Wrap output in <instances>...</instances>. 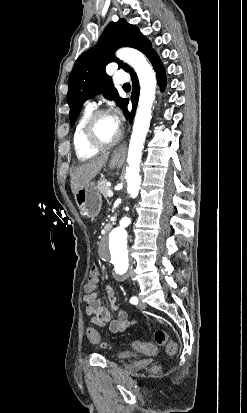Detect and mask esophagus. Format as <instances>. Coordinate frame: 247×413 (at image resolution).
<instances>
[{"label":"esophagus","instance_id":"esophagus-1","mask_svg":"<svg viewBox=\"0 0 247 413\" xmlns=\"http://www.w3.org/2000/svg\"><path fill=\"white\" fill-rule=\"evenodd\" d=\"M127 152V144L126 142L121 143V145L117 146L113 152V154L117 157L120 158L121 160L125 159Z\"/></svg>","mask_w":247,"mask_h":413}]
</instances>
